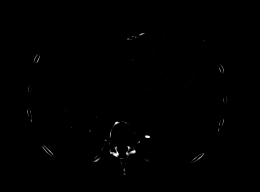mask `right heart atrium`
<instances>
[{
    "mask_svg": "<svg viewBox=\"0 0 260 192\" xmlns=\"http://www.w3.org/2000/svg\"><path fill=\"white\" fill-rule=\"evenodd\" d=\"M109 71L121 84V86L135 87L138 85L139 80L132 68L127 64L118 59H113L109 63Z\"/></svg>",
    "mask_w": 260,
    "mask_h": 192,
    "instance_id": "1",
    "label": "right heart atrium"
}]
</instances>
